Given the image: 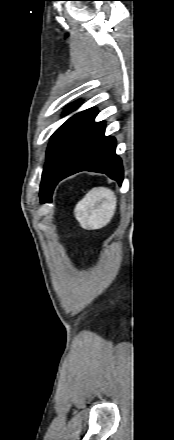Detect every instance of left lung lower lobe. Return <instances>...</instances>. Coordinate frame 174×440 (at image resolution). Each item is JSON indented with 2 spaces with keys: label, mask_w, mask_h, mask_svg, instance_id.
<instances>
[{
  "label": "left lung lower lobe",
  "mask_w": 174,
  "mask_h": 440,
  "mask_svg": "<svg viewBox=\"0 0 174 440\" xmlns=\"http://www.w3.org/2000/svg\"><path fill=\"white\" fill-rule=\"evenodd\" d=\"M97 113L96 111L86 123L53 188L60 180L80 171L104 173L119 184L122 183L123 168L121 159L115 152L116 140L104 135V121L94 122ZM51 196L46 202H50Z\"/></svg>",
  "instance_id": "left-lung-lower-lobe-1"
}]
</instances>
